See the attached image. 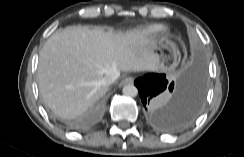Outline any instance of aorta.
<instances>
[{
  "label": "aorta",
  "instance_id": "obj_1",
  "mask_svg": "<svg viewBox=\"0 0 244 157\" xmlns=\"http://www.w3.org/2000/svg\"><path fill=\"white\" fill-rule=\"evenodd\" d=\"M122 92L127 97H135L138 94V89L133 84L125 85Z\"/></svg>",
  "mask_w": 244,
  "mask_h": 157
}]
</instances>
